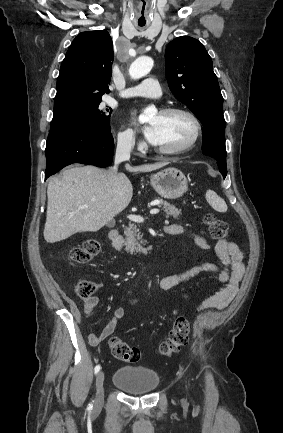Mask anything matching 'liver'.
Instances as JSON below:
<instances>
[{"mask_svg":"<svg viewBox=\"0 0 283 433\" xmlns=\"http://www.w3.org/2000/svg\"><path fill=\"white\" fill-rule=\"evenodd\" d=\"M168 162L130 166V172H150ZM48 206L44 227L47 243L64 241L74 233H97L128 206L133 186L124 172L96 166H74L62 178L53 176L47 186Z\"/></svg>","mask_w":283,"mask_h":433,"instance_id":"1","label":"liver"}]
</instances>
